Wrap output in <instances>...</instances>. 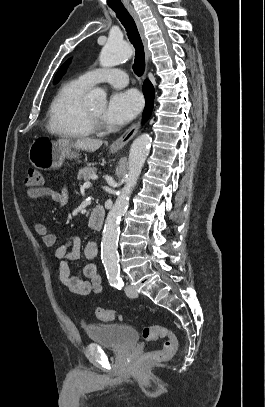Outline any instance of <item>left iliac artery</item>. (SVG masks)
Listing matches in <instances>:
<instances>
[{
	"instance_id": "1",
	"label": "left iliac artery",
	"mask_w": 265,
	"mask_h": 407,
	"mask_svg": "<svg viewBox=\"0 0 265 407\" xmlns=\"http://www.w3.org/2000/svg\"><path fill=\"white\" fill-rule=\"evenodd\" d=\"M110 284L119 290H121V288L124 286V282H123L122 278H120V277L111 279Z\"/></svg>"
}]
</instances>
